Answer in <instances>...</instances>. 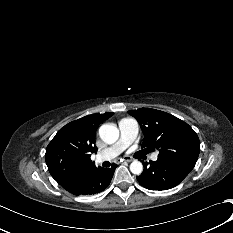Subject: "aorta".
I'll list each match as a JSON object with an SVG mask.
<instances>
[{
	"label": "aorta",
	"mask_w": 233,
	"mask_h": 233,
	"mask_svg": "<svg viewBox=\"0 0 233 233\" xmlns=\"http://www.w3.org/2000/svg\"><path fill=\"white\" fill-rule=\"evenodd\" d=\"M100 138L107 144H113L119 137L118 128L111 123L104 124L99 128ZM130 171L133 174L140 175L143 171V165L140 161H133L130 164Z\"/></svg>",
	"instance_id": "obj_1"
}]
</instances>
